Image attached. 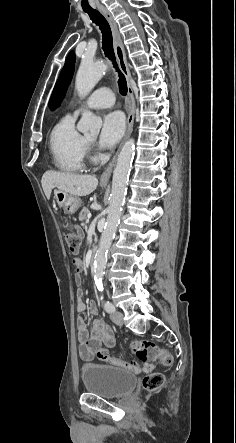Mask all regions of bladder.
Instances as JSON below:
<instances>
[{
    "instance_id": "31cf9c89",
    "label": "bladder",
    "mask_w": 236,
    "mask_h": 443,
    "mask_svg": "<svg viewBox=\"0 0 236 443\" xmlns=\"http://www.w3.org/2000/svg\"><path fill=\"white\" fill-rule=\"evenodd\" d=\"M81 376L87 393L108 399L126 396L137 380L132 371L91 363L82 367Z\"/></svg>"
}]
</instances>
